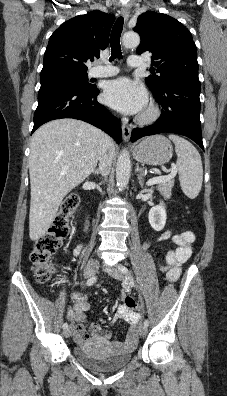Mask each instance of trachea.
I'll return each instance as SVG.
<instances>
[{
	"mask_svg": "<svg viewBox=\"0 0 227 396\" xmlns=\"http://www.w3.org/2000/svg\"><path fill=\"white\" fill-rule=\"evenodd\" d=\"M123 17H119L115 22L111 36H110V46L112 50V54L110 57V61L122 57L121 46H120V37L123 29Z\"/></svg>",
	"mask_w": 227,
	"mask_h": 396,
	"instance_id": "trachea-1",
	"label": "trachea"
}]
</instances>
